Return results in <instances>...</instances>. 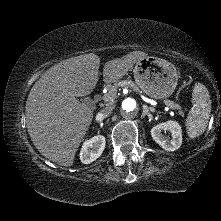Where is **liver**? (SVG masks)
<instances>
[{
    "label": "liver",
    "mask_w": 221,
    "mask_h": 221,
    "mask_svg": "<svg viewBox=\"0 0 221 221\" xmlns=\"http://www.w3.org/2000/svg\"><path fill=\"white\" fill-rule=\"evenodd\" d=\"M147 56L142 51L105 63L103 81L121 79ZM100 58L94 53L66 59L46 71L30 90L26 124L30 138L47 159L69 167L93 120V110L76 97L90 94L98 82Z\"/></svg>",
    "instance_id": "6515ba94"
}]
</instances>
